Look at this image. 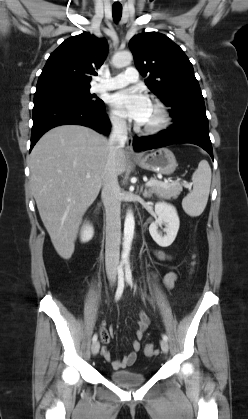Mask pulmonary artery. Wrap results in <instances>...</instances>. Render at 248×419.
Listing matches in <instances>:
<instances>
[{
  "mask_svg": "<svg viewBox=\"0 0 248 419\" xmlns=\"http://www.w3.org/2000/svg\"><path fill=\"white\" fill-rule=\"evenodd\" d=\"M139 79L138 72L134 67H128L123 73L110 77L107 81L99 83L96 86V91L113 90L122 88L130 83L136 82Z\"/></svg>",
  "mask_w": 248,
  "mask_h": 419,
  "instance_id": "e3ab8cb5",
  "label": "pulmonary artery"
}]
</instances>
